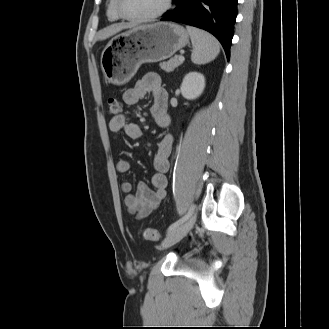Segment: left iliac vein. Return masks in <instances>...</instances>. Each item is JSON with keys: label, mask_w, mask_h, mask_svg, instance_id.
Listing matches in <instances>:
<instances>
[{"label": "left iliac vein", "mask_w": 329, "mask_h": 329, "mask_svg": "<svg viewBox=\"0 0 329 329\" xmlns=\"http://www.w3.org/2000/svg\"><path fill=\"white\" fill-rule=\"evenodd\" d=\"M196 221V213L193 212L191 216L181 225L168 233L166 238L162 241L160 249H166L179 242L185 237L188 232L193 228Z\"/></svg>", "instance_id": "4c4485c4"}]
</instances>
